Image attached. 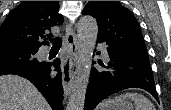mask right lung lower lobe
<instances>
[{"label": "right lung lower lobe", "instance_id": "1", "mask_svg": "<svg viewBox=\"0 0 171 110\" xmlns=\"http://www.w3.org/2000/svg\"><path fill=\"white\" fill-rule=\"evenodd\" d=\"M60 64L59 59L53 63L43 62L36 67H19L0 72L1 75L15 74L30 80L37 89L43 94L53 110H63V87L61 85V73L56 76L50 75L51 66L53 65L57 70Z\"/></svg>", "mask_w": 171, "mask_h": 110}]
</instances>
